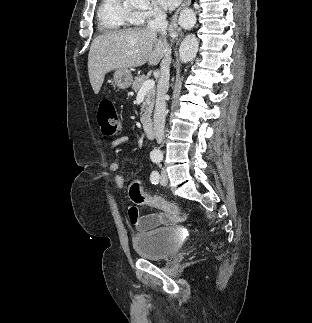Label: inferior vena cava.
<instances>
[{
    "label": "inferior vena cava",
    "instance_id": "602c4592",
    "mask_svg": "<svg viewBox=\"0 0 312 323\" xmlns=\"http://www.w3.org/2000/svg\"><path fill=\"white\" fill-rule=\"evenodd\" d=\"M167 14L161 12V10H154L153 20H148L149 28L159 32L161 38L159 40L161 48L163 50V60L160 64L161 76L159 78L157 86V96H156V106L154 112V132L156 140L162 142L164 138V128H165V116H166V104L165 96L169 88V78H170V64H171V50L170 46L166 40L167 36V26L168 22L166 20Z\"/></svg>",
    "mask_w": 312,
    "mask_h": 323
}]
</instances>
